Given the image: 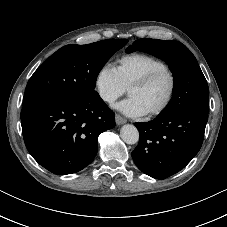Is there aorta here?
I'll use <instances>...</instances> for the list:
<instances>
[{
  "instance_id": "obj_1",
  "label": "aorta",
  "mask_w": 227,
  "mask_h": 227,
  "mask_svg": "<svg viewBox=\"0 0 227 227\" xmlns=\"http://www.w3.org/2000/svg\"><path fill=\"white\" fill-rule=\"evenodd\" d=\"M120 135L127 144H136L139 141V132L134 125L126 124L121 128Z\"/></svg>"
}]
</instances>
